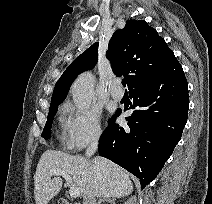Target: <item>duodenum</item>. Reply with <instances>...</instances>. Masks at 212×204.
<instances>
[{
    "label": "duodenum",
    "mask_w": 212,
    "mask_h": 204,
    "mask_svg": "<svg viewBox=\"0 0 212 204\" xmlns=\"http://www.w3.org/2000/svg\"><path fill=\"white\" fill-rule=\"evenodd\" d=\"M59 204H71V203H69L67 200H65V199H61L60 201H59Z\"/></svg>",
    "instance_id": "obj_1"
}]
</instances>
